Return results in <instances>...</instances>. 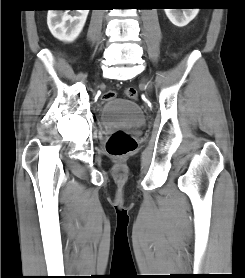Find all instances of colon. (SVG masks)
I'll use <instances>...</instances> for the list:
<instances>
[{
  "instance_id": "5ec220e1",
  "label": "colon",
  "mask_w": 245,
  "mask_h": 278,
  "mask_svg": "<svg viewBox=\"0 0 245 278\" xmlns=\"http://www.w3.org/2000/svg\"><path fill=\"white\" fill-rule=\"evenodd\" d=\"M204 8V7H203ZM126 94L130 99L137 98V90L134 87H128ZM115 97L114 92L107 91L103 94L105 100H111ZM137 147V143L124 130H116L112 133L106 144V151L109 156L115 160H122L131 155Z\"/></svg>"
}]
</instances>
